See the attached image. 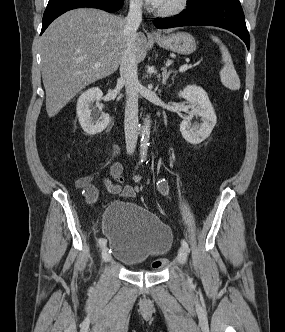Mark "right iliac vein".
I'll return each instance as SVG.
<instances>
[{
    "instance_id": "obj_1",
    "label": "right iliac vein",
    "mask_w": 285,
    "mask_h": 332,
    "mask_svg": "<svg viewBox=\"0 0 285 332\" xmlns=\"http://www.w3.org/2000/svg\"><path fill=\"white\" fill-rule=\"evenodd\" d=\"M102 261L107 263L110 261L111 255L108 252V248L106 246L103 247L102 249Z\"/></svg>"
}]
</instances>
